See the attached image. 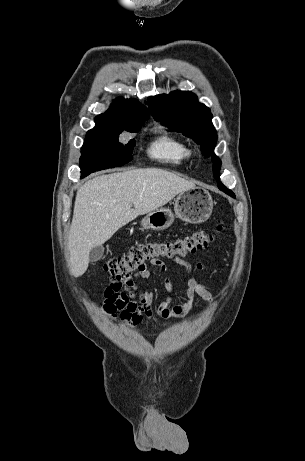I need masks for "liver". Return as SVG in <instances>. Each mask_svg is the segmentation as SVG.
Here are the masks:
<instances>
[{"label": "liver", "instance_id": "liver-1", "mask_svg": "<svg viewBox=\"0 0 305 461\" xmlns=\"http://www.w3.org/2000/svg\"><path fill=\"white\" fill-rule=\"evenodd\" d=\"M195 187L194 183L158 168L133 169L86 182L77 191L68 236L71 274L83 275L91 249L104 244L121 227Z\"/></svg>", "mask_w": 305, "mask_h": 461}]
</instances>
